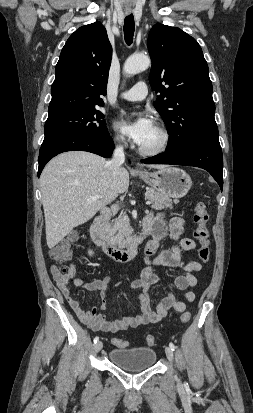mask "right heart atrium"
<instances>
[{
	"mask_svg": "<svg viewBox=\"0 0 253 413\" xmlns=\"http://www.w3.org/2000/svg\"><path fill=\"white\" fill-rule=\"evenodd\" d=\"M113 140L117 146H123L126 143V140L122 134H116Z\"/></svg>",
	"mask_w": 253,
	"mask_h": 413,
	"instance_id": "1",
	"label": "right heart atrium"
}]
</instances>
